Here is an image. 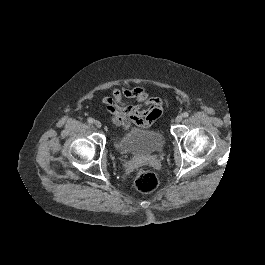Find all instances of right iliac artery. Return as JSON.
Wrapping results in <instances>:
<instances>
[{
    "instance_id": "1",
    "label": "right iliac artery",
    "mask_w": 265,
    "mask_h": 265,
    "mask_svg": "<svg viewBox=\"0 0 265 265\" xmlns=\"http://www.w3.org/2000/svg\"><path fill=\"white\" fill-rule=\"evenodd\" d=\"M87 121H88L89 124H93L94 123V119L93 118H88Z\"/></svg>"
}]
</instances>
